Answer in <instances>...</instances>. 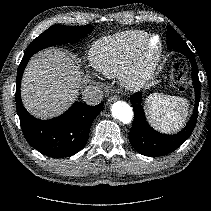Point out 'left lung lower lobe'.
I'll list each match as a JSON object with an SVG mask.
<instances>
[{"label":"left lung lower lobe","instance_id":"0a47b994","mask_svg":"<svg viewBox=\"0 0 211 211\" xmlns=\"http://www.w3.org/2000/svg\"><path fill=\"white\" fill-rule=\"evenodd\" d=\"M167 47L185 55L191 62L192 80L195 88V105L187 126L177 134L165 135L155 131L148 124L141 105V93L137 92L131 96L130 101L132 102L134 110V121L129 132V141L137 152L151 157L162 156L176 150L190 137L197 123L198 105L200 101V81L194 54L183 39H179L175 36L169 37Z\"/></svg>","mask_w":211,"mask_h":211}]
</instances>
